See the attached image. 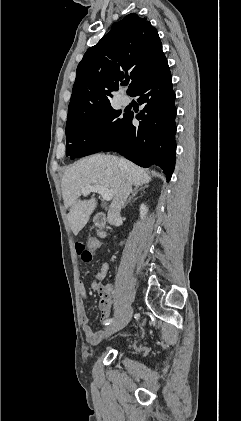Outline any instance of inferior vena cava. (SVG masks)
Instances as JSON below:
<instances>
[{
	"label": "inferior vena cava",
	"mask_w": 241,
	"mask_h": 421,
	"mask_svg": "<svg viewBox=\"0 0 241 421\" xmlns=\"http://www.w3.org/2000/svg\"><path fill=\"white\" fill-rule=\"evenodd\" d=\"M132 183L131 180L124 176L123 183L121 185L118 195L113 199L110 209L108 211V220L110 223H114L115 220L120 218L121 209L127 200L131 192Z\"/></svg>",
	"instance_id": "602c4592"
}]
</instances>
